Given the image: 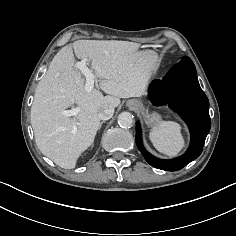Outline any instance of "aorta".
Here are the masks:
<instances>
[{
    "mask_svg": "<svg viewBox=\"0 0 236 236\" xmlns=\"http://www.w3.org/2000/svg\"><path fill=\"white\" fill-rule=\"evenodd\" d=\"M133 115L130 112H122L118 116V124L121 127L129 128L133 125Z\"/></svg>",
    "mask_w": 236,
    "mask_h": 236,
    "instance_id": "aorta-1",
    "label": "aorta"
}]
</instances>
